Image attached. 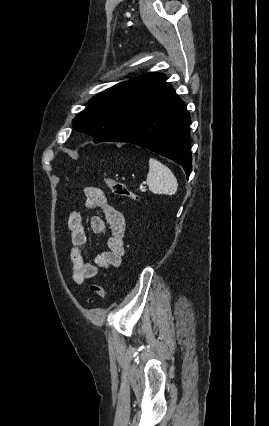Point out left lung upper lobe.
Instances as JSON below:
<instances>
[{
	"mask_svg": "<svg viewBox=\"0 0 269 426\" xmlns=\"http://www.w3.org/2000/svg\"><path fill=\"white\" fill-rule=\"evenodd\" d=\"M159 75V73H145L99 93L73 119L74 128L94 137L95 143L103 141L117 126L121 113L132 96L152 83Z\"/></svg>",
	"mask_w": 269,
	"mask_h": 426,
	"instance_id": "obj_1",
	"label": "left lung upper lobe"
}]
</instances>
